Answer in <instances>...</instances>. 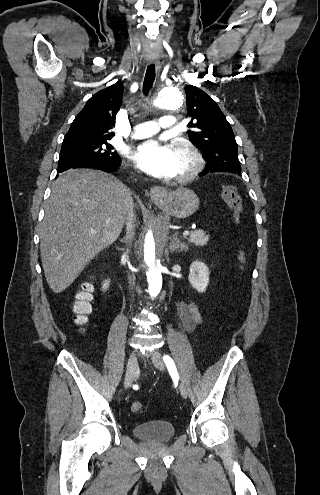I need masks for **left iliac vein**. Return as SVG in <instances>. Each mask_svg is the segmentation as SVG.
<instances>
[{"mask_svg": "<svg viewBox=\"0 0 320 495\" xmlns=\"http://www.w3.org/2000/svg\"><path fill=\"white\" fill-rule=\"evenodd\" d=\"M151 359H152V362L157 369H159L161 371L165 370V364L163 361V357L159 351H154L151 354ZM179 391H180V394L182 395L183 398H187L188 390H187V387L185 386L184 383L179 384Z\"/></svg>", "mask_w": 320, "mask_h": 495, "instance_id": "obj_1", "label": "left iliac vein"}]
</instances>
